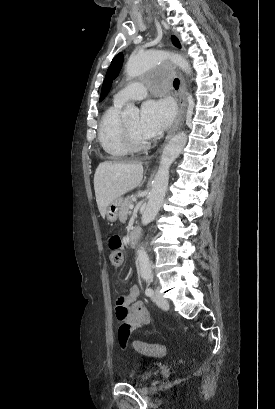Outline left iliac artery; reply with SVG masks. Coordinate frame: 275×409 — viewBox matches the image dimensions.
<instances>
[{"label":"left iliac artery","instance_id":"1","mask_svg":"<svg viewBox=\"0 0 275 409\" xmlns=\"http://www.w3.org/2000/svg\"><path fill=\"white\" fill-rule=\"evenodd\" d=\"M144 279L146 280V282H147V288H146V290H145V294L147 295V296H149V297H151L153 294H154V291H153V289L149 286L151 283H152V277H151V275H149L148 277H144Z\"/></svg>","mask_w":275,"mask_h":409}]
</instances>
